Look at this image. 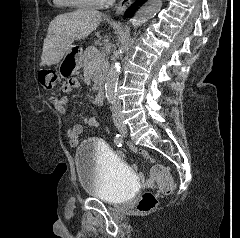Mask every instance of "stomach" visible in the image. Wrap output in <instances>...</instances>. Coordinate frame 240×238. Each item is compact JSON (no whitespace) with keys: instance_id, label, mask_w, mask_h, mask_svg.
<instances>
[{"instance_id":"1","label":"stomach","mask_w":240,"mask_h":238,"mask_svg":"<svg viewBox=\"0 0 240 238\" xmlns=\"http://www.w3.org/2000/svg\"><path fill=\"white\" fill-rule=\"evenodd\" d=\"M81 66L82 48L78 45H71L58 66V72L62 78H68L78 71Z\"/></svg>"}]
</instances>
